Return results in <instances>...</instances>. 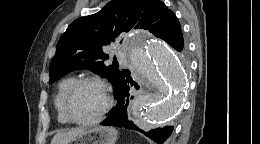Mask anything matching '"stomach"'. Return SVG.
Returning <instances> with one entry per match:
<instances>
[{
    "instance_id": "obj_1",
    "label": "stomach",
    "mask_w": 260,
    "mask_h": 144,
    "mask_svg": "<svg viewBox=\"0 0 260 144\" xmlns=\"http://www.w3.org/2000/svg\"><path fill=\"white\" fill-rule=\"evenodd\" d=\"M117 131L113 127L95 126L73 138L68 144H115Z\"/></svg>"
}]
</instances>
